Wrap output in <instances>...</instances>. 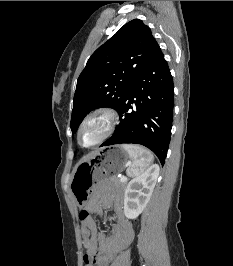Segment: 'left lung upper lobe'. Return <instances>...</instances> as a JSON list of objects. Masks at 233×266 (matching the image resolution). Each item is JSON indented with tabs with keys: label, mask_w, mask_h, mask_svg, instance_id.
I'll return each instance as SVG.
<instances>
[{
	"label": "left lung upper lobe",
	"mask_w": 233,
	"mask_h": 266,
	"mask_svg": "<svg viewBox=\"0 0 233 266\" xmlns=\"http://www.w3.org/2000/svg\"><path fill=\"white\" fill-rule=\"evenodd\" d=\"M157 46L150 28L134 19L91 55L77 81L70 123L73 134L91 110L118 111Z\"/></svg>",
	"instance_id": "obj_1"
}]
</instances>
